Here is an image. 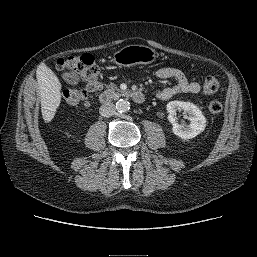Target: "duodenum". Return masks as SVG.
<instances>
[{
	"mask_svg": "<svg viewBox=\"0 0 257 257\" xmlns=\"http://www.w3.org/2000/svg\"><path fill=\"white\" fill-rule=\"evenodd\" d=\"M128 96H130L137 104H143L145 102V95L140 90L130 91L128 92ZM111 99V96L108 93H101L99 95V101L102 104H107Z\"/></svg>",
	"mask_w": 257,
	"mask_h": 257,
	"instance_id": "obj_1",
	"label": "duodenum"
}]
</instances>
